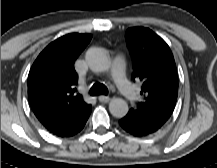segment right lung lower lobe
Listing matches in <instances>:
<instances>
[{
  "label": "right lung lower lobe",
  "mask_w": 217,
  "mask_h": 168,
  "mask_svg": "<svg viewBox=\"0 0 217 168\" xmlns=\"http://www.w3.org/2000/svg\"><path fill=\"white\" fill-rule=\"evenodd\" d=\"M84 125H85V124H84ZM84 125L81 126L79 129H77L76 131L72 132L70 135L65 136V137H70V136H73V135L77 134L78 132H80V131L83 129Z\"/></svg>",
  "instance_id": "right-lung-lower-lobe-1"
}]
</instances>
